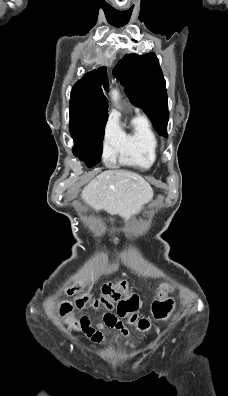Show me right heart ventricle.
<instances>
[{
	"instance_id": "e07e8e85",
	"label": "right heart ventricle",
	"mask_w": 228,
	"mask_h": 396,
	"mask_svg": "<svg viewBox=\"0 0 228 396\" xmlns=\"http://www.w3.org/2000/svg\"><path fill=\"white\" fill-rule=\"evenodd\" d=\"M117 155L122 164L133 167L148 169L154 164L158 139L144 116H135L129 129H121Z\"/></svg>"
}]
</instances>
